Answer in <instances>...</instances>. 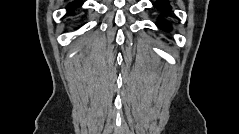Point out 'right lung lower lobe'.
Here are the masks:
<instances>
[{"label":"right lung lower lobe","instance_id":"right-lung-lower-lobe-1","mask_svg":"<svg viewBox=\"0 0 239 134\" xmlns=\"http://www.w3.org/2000/svg\"><path fill=\"white\" fill-rule=\"evenodd\" d=\"M81 5H82V2L80 0H77V1H74V2L70 3L67 6V8H68L69 12H72L73 9H75V8L81 6Z\"/></svg>","mask_w":239,"mask_h":134}]
</instances>
